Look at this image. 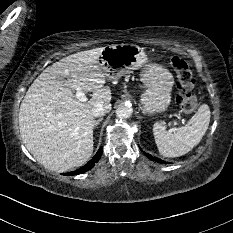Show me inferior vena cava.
<instances>
[{"label": "inferior vena cava", "mask_w": 233, "mask_h": 233, "mask_svg": "<svg viewBox=\"0 0 233 233\" xmlns=\"http://www.w3.org/2000/svg\"><path fill=\"white\" fill-rule=\"evenodd\" d=\"M111 110V103L105 102V103H97L92 108V114L93 116H104Z\"/></svg>", "instance_id": "obj_1"}]
</instances>
